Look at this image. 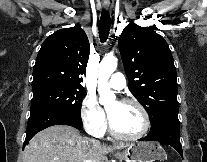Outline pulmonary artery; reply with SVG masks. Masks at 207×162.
<instances>
[{
	"instance_id": "obj_1",
	"label": "pulmonary artery",
	"mask_w": 207,
	"mask_h": 162,
	"mask_svg": "<svg viewBox=\"0 0 207 162\" xmlns=\"http://www.w3.org/2000/svg\"><path fill=\"white\" fill-rule=\"evenodd\" d=\"M125 85H126V81L123 74L118 72L114 73L108 81V86L116 91L123 90Z\"/></svg>"
}]
</instances>
